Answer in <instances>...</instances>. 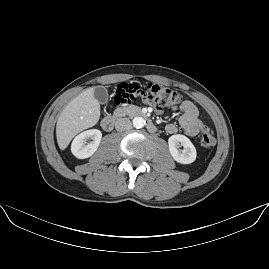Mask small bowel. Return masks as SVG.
Here are the masks:
<instances>
[{
  "instance_id": "small-bowel-1",
  "label": "small bowel",
  "mask_w": 269,
  "mask_h": 269,
  "mask_svg": "<svg viewBox=\"0 0 269 269\" xmlns=\"http://www.w3.org/2000/svg\"><path fill=\"white\" fill-rule=\"evenodd\" d=\"M181 113L179 118V126L183 129L186 135L195 136L203 127V123L199 119L197 107L191 101H184L176 108ZM166 131L170 134L177 132V125L169 123L166 126Z\"/></svg>"
}]
</instances>
